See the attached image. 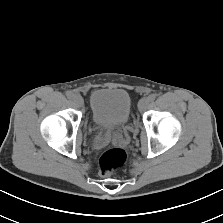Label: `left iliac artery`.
Masks as SVG:
<instances>
[{"mask_svg":"<svg viewBox=\"0 0 223 223\" xmlns=\"http://www.w3.org/2000/svg\"><path fill=\"white\" fill-rule=\"evenodd\" d=\"M155 99H156V94H150V95L148 96V100H149L150 102L154 101Z\"/></svg>","mask_w":223,"mask_h":223,"instance_id":"1","label":"left iliac artery"}]
</instances>
